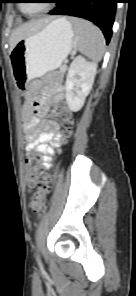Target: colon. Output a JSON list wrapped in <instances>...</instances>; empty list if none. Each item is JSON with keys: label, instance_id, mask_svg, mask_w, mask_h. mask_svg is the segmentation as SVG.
Segmentation results:
<instances>
[{"label": "colon", "instance_id": "obj_1", "mask_svg": "<svg viewBox=\"0 0 136 296\" xmlns=\"http://www.w3.org/2000/svg\"><path fill=\"white\" fill-rule=\"evenodd\" d=\"M58 114L63 121V136L68 137L72 133L74 120L72 114L66 108H60ZM39 158L33 155L28 161V182L35 188L31 199V208L39 211L45 205L46 198L50 192L52 178L47 172H37Z\"/></svg>", "mask_w": 136, "mask_h": 296}]
</instances>
